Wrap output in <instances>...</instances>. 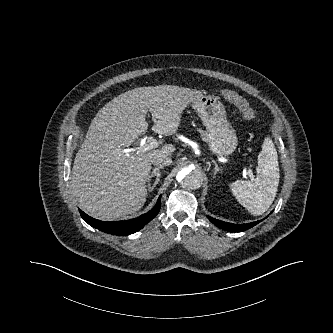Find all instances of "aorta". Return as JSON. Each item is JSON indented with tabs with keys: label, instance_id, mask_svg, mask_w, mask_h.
<instances>
[{
	"label": "aorta",
	"instance_id": "obj_1",
	"mask_svg": "<svg viewBox=\"0 0 333 333\" xmlns=\"http://www.w3.org/2000/svg\"><path fill=\"white\" fill-rule=\"evenodd\" d=\"M177 180L180 185L187 190H196L201 187L202 175L192 167H186L180 170L177 174Z\"/></svg>",
	"mask_w": 333,
	"mask_h": 333
}]
</instances>
